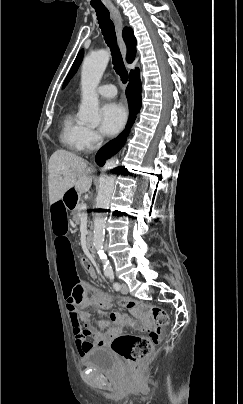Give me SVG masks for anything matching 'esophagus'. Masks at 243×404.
<instances>
[{
	"label": "esophagus",
	"mask_w": 243,
	"mask_h": 404,
	"mask_svg": "<svg viewBox=\"0 0 243 404\" xmlns=\"http://www.w3.org/2000/svg\"><path fill=\"white\" fill-rule=\"evenodd\" d=\"M108 8H109V10L111 12V15H112L113 20H114L115 25H116V30H117V35H118V43H119V46H120L121 53H122L123 57H125L126 56V46H125V43H124L123 38H122V31H123V28H124L123 18L121 16L120 11L118 10V8H116L114 6H109Z\"/></svg>",
	"instance_id": "esophagus-1"
}]
</instances>
